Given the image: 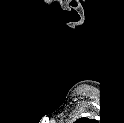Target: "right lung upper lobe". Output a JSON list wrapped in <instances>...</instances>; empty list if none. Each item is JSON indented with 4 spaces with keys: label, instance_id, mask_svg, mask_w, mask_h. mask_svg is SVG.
<instances>
[{
    "label": "right lung upper lobe",
    "instance_id": "cb5924a9",
    "mask_svg": "<svg viewBox=\"0 0 124 123\" xmlns=\"http://www.w3.org/2000/svg\"><path fill=\"white\" fill-rule=\"evenodd\" d=\"M81 120H86L85 118H82Z\"/></svg>",
    "mask_w": 124,
    "mask_h": 123
}]
</instances>
